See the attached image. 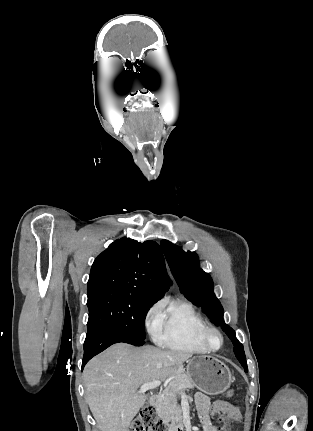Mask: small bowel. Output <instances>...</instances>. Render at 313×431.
Segmentation results:
<instances>
[{
	"mask_svg": "<svg viewBox=\"0 0 313 431\" xmlns=\"http://www.w3.org/2000/svg\"><path fill=\"white\" fill-rule=\"evenodd\" d=\"M195 401L203 431H219L216 425L218 422L216 415L220 412L230 420L238 421L241 418L240 410L236 406L224 401H216L211 404L209 398L203 393H197Z\"/></svg>",
	"mask_w": 313,
	"mask_h": 431,
	"instance_id": "small-bowel-1",
	"label": "small bowel"
}]
</instances>
